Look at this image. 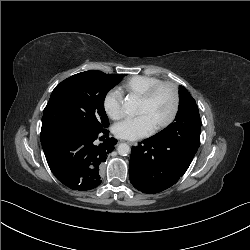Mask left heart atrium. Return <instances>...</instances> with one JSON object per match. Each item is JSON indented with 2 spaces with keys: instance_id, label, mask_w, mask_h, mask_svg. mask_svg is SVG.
<instances>
[{
  "instance_id": "39dd6f15",
  "label": "left heart atrium",
  "mask_w": 250,
  "mask_h": 250,
  "mask_svg": "<svg viewBox=\"0 0 250 250\" xmlns=\"http://www.w3.org/2000/svg\"><path fill=\"white\" fill-rule=\"evenodd\" d=\"M153 126L145 115L127 118L113 127L116 137L126 140H137L148 136L153 131Z\"/></svg>"
}]
</instances>
